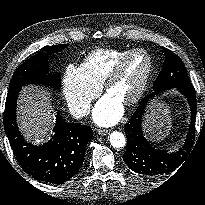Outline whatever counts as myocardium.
Instances as JSON below:
<instances>
[{
  "label": "myocardium",
  "instance_id": "f54148a6",
  "mask_svg": "<svg viewBox=\"0 0 205 205\" xmlns=\"http://www.w3.org/2000/svg\"><path fill=\"white\" fill-rule=\"evenodd\" d=\"M142 53L145 54L148 58V67L144 73V76L139 84L138 89L134 92V94L127 100L122 101V104L125 106H132L138 103L143 95L145 94L147 87L150 82V78L153 72L154 68V60L151 54L143 49V48H136L132 49L129 52H127L121 59L118 60V62L114 65L108 76L105 78L104 82L102 83V89L105 93H108L110 90V87L114 82H116L122 75L124 67L127 63V61L134 55Z\"/></svg>",
  "mask_w": 205,
  "mask_h": 205
}]
</instances>
